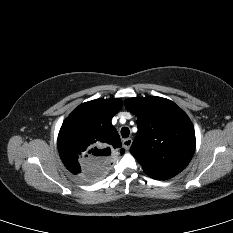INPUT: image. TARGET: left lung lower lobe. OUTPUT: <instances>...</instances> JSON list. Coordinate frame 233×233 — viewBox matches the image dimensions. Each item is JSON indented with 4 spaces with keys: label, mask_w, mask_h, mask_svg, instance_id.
<instances>
[{
    "label": "left lung lower lobe",
    "mask_w": 233,
    "mask_h": 233,
    "mask_svg": "<svg viewBox=\"0 0 233 233\" xmlns=\"http://www.w3.org/2000/svg\"><path fill=\"white\" fill-rule=\"evenodd\" d=\"M171 177H173V176H162V177H152V178L157 179V180H165V179H169Z\"/></svg>",
    "instance_id": "0a47b994"
}]
</instances>
